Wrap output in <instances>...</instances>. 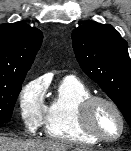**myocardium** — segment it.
<instances>
[{"label":"myocardium","mask_w":131,"mask_h":151,"mask_svg":"<svg viewBox=\"0 0 131 151\" xmlns=\"http://www.w3.org/2000/svg\"><path fill=\"white\" fill-rule=\"evenodd\" d=\"M99 104H105L109 106L117 115L120 122V131L117 136L105 137L101 135L99 132H97L96 129L94 128L93 114L96 106ZM78 120L82 131L98 142L105 143L116 142L123 136L125 132L126 122L120 107L112 99L105 96L90 95L87 98H85L81 102L79 107Z\"/></svg>","instance_id":"myocardium-1"}]
</instances>
